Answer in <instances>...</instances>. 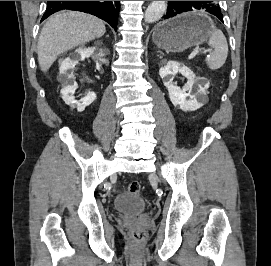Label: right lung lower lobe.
Returning a JSON list of instances; mask_svg holds the SVG:
<instances>
[{
  "label": "right lung lower lobe",
  "mask_w": 271,
  "mask_h": 266,
  "mask_svg": "<svg viewBox=\"0 0 271 266\" xmlns=\"http://www.w3.org/2000/svg\"><path fill=\"white\" fill-rule=\"evenodd\" d=\"M62 9L95 15L108 22L116 30L120 1H47L46 12L41 21Z\"/></svg>",
  "instance_id": "98d812e1"
}]
</instances>
